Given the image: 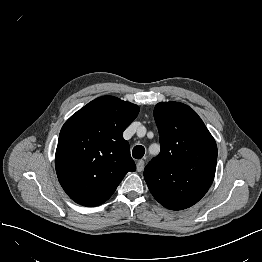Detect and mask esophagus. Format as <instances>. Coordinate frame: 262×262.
I'll list each match as a JSON object with an SVG mask.
<instances>
[{
	"label": "esophagus",
	"instance_id": "obj_1",
	"mask_svg": "<svg viewBox=\"0 0 262 262\" xmlns=\"http://www.w3.org/2000/svg\"><path fill=\"white\" fill-rule=\"evenodd\" d=\"M136 167H137V171L138 172H141L144 168V161L143 160H139L136 164Z\"/></svg>",
	"mask_w": 262,
	"mask_h": 262
}]
</instances>
